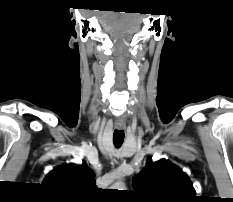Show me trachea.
<instances>
[{
  "instance_id": "1",
  "label": "trachea",
  "mask_w": 233,
  "mask_h": 202,
  "mask_svg": "<svg viewBox=\"0 0 233 202\" xmlns=\"http://www.w3.org/2000/svg\"><path fill=\"white\" fill-rule=\"evenodd\" d=\"M124 141V131L123 130H115L113 134V143L116 148H119Z\"/></svg>"
}]
</instances>
